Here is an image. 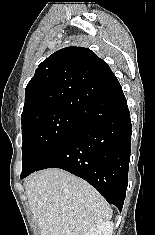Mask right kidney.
I'll list each match as a JSON object with an SVG mask.
<instances>
[{
    "label": "right kidney",
    "instance_id": "ca27d5eb",
    "mask_svg": "<svg viewBox=\"0 0 155 235\" xmlns=\"http://www.w3.org/2000/svg\"><path fill=\"white\" fill-rule=\"evenodd\" d=\"M113 227L112 222L106 221L91 228L86 235H112Z\"/></svg>",
    "mask_w": 155,
    "mask_h": 235
}]
</instances>
